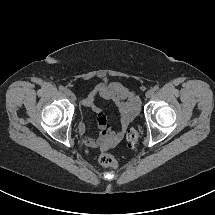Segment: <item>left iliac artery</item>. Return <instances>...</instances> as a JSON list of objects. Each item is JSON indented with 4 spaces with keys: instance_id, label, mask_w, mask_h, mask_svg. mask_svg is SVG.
<instances>
[{
    "instance_id": "44dca946",
    "label": "left iliac artery",
    "mask_w": 215,
    "mask_h": 215,
    "mask_svg": "<svg viewBox=\"0 0 215 215\" xmlns=\"http://www.w3.org/2000/svg\"><path fill=\"white\" fill-rule=\"evenodd\" d=\"M153 90H154V91H158V90H159V86H157V85L154 86Z\"/></svg>"
}]
</instances>
